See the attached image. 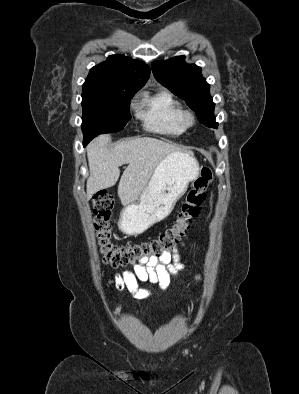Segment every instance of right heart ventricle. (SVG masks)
<instances>
[{
  "label": "right heart ventricle",
  "instance_id": "e07e8e85",
  "mask_svg": "<svg viewBox=\"0 0 299 394\" xmlns=\"http://www.w3.org/2000/svg\"><path fill=\"white\" fill-rule=\"evenodd\" d=\"M183 112L181 103L170 92L158 90L143 96L137 115L148 131L175 137L186 130Z\"/></svg>",
  "mask_w": 299,
  "mask_h": 394
}]
</instances>
